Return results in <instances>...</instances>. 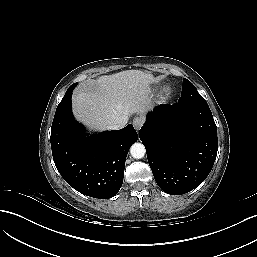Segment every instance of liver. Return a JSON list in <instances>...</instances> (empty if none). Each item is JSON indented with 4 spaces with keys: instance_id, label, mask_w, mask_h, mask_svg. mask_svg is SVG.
Here are the masks:
<instances>
[{
    "instance_id": "1",
    "label": "liver",
    "mask_w": 257,
    "mask_h": 257,
    "mask_svg": "<svg viewBox=\"0 0 257 257\" xmlns=\"http://www.w3.org/2000/svg\"><path fill=\"white\" fill-rule=\"evenodd\" d=\"M153 80L151 74L140 70L101 76L72 97L74 115L90 128L104 130L141 109Z\"/></svg>"
}]
</instances>
